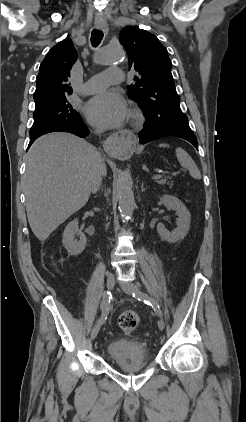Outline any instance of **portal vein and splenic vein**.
Listing matches in <instances>:
<instances>
[{"instance_id":"1","label":"portal vein and splenic vein","mask_w":246,"mask_h":422,"mask_svg":"<svg viewBox=\"0 0 246 422\" xmlns=\"http://www.w3.org/2000/svg\"><path fill=\"white\" fill-rule=\"evenodd\" d=\"M161 176H159V175H156V176H153L152 177V179H157V178H160Z\"/></svg>"}]
</instances>
